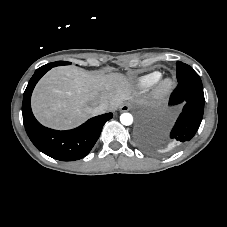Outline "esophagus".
I'll return each mask as SVG.
<instances>
[{
	"label": "esophagus",
	"instance_id": "1",
	"mask_svg": "<svg viewBox=\"0 0 227 227\" xmlns=\"http://www.w3.org/2000/svg\"><path fill=\"white\" fill-rule=\"evenodd\" d=\"M130 105L129 104H123L121 107H120V111L121 112H126V111H129L130 110Z\"/></svg>",
	"mask_w": 227,
	"mask_h": 227
}]
</instances>
